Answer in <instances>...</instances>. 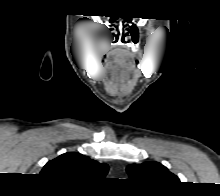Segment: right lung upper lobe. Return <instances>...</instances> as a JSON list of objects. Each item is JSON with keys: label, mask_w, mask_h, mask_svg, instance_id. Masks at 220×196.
I'll return each mask as SVG.
<instances>
[{"label": "right lung upper lobe", "mask_w": 220, "mask_h": 196, "mask_svg": "<svg viewBox=\"0 0 220 196\" xmlns=\"http://www.w3.org/2000/svg\"><path fill=\"white\" fill-rule=\"evenodd\" d=\"M108 165L76 152H68L49 161L40 175L55 179L60 183L74 185H94L108 172Z\"/></svg>", "instance_id": "right-lung-upper-lobe-1"}]
</instances>
